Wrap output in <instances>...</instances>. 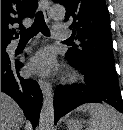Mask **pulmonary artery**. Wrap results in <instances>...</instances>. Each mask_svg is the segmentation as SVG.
Segmentation results:
<instances>
[{
	"instance_id": "1",
	"label": "pulmonary artery",
	"mask_w": 123,
	"mask_h": 130,
	"mask_svg": "<svg viewBox=\"0 0 123 130\" xmlns=\"http://www.w3.org/2000/svg\"><path fill=\"white\" fill-rule=\"evenodd\" d=\"M53 35L57 39H66L69 37L70 32L65 25L56 24V25H54Z\"/></svg>"
}]
</instances>
